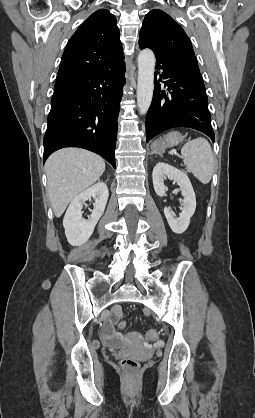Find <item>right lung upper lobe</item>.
<instances>
[{"mask_svg": "<svg viewBox=\"0 0 255 418\" xmlns=\"http://www.w3.org/2000/svg\"><path fill=\"white\" fill-rule=\"evenodd\" d=\"M123 62L116 18L108 10L100 9L90 15L68 41L57 78L111 68Z\"/></svg>", "mask_w": 255, "mask_h": 418, "instance_id": "1", "label": "right lung upper lobe"}]
</instances>
